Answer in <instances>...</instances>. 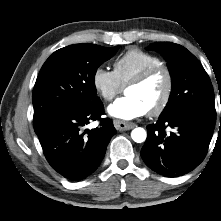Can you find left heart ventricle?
Masks as SVG:
<instances>
[{
  "label": "left heart ventricle",
  "mask_w": 221,
  "mask_h": 221,
  "mask_svg": "<svg viewBox=\"0 0 221 221\" xmlns=\"http://www.w3.org/2000/svg\"><path fill=\"white\" fill-rule=\"evenodd\" d=\"M166 86L164 73H157L145 83L138 86H131L126 89L128 96L141 100L148 110L153 108L160 101Z\"/></svg>",
  "instance_id": "left-heart-ventricle-1"
}]
</instances>
